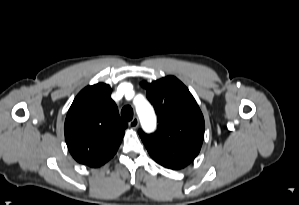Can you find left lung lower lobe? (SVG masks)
<instances>
[{
  "label": "left lung lower lobe",
  "mask_w": 299,
  "mask_h": 205,
  "mask_svg": "<svg viewBox=\"0 0 299 205\" xmlns=\"http://www.w3.org/2000/svg\"><path fill=\"white\" fill-rule=\"evenodd\" d=\"M145 146L157 163L173 170L186 167L201 149L200 145L185 142L145 143Z\"/></svg>",
  "instance_id": "obj_1"
}]
</instances>
